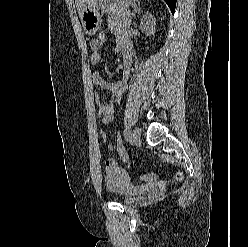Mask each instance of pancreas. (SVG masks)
Returning a JSON list of instances; mask_svg holds the SVG:
<instances>
[{"label":"pancreas","mask_w":248,"mask_h":247,"mask_svg":"<svg viewBox=\"0 0 248 247\" xmlns=\"http://www.w3.org/2000/svg\"><path fill=\"white\" fill-rule=\"evenodd\" d=\"M130 15L126 9L115 10L108 15V27L114 30L130 24Z\"/></svg>","instance_id":"obj_1"}]
</instances>
